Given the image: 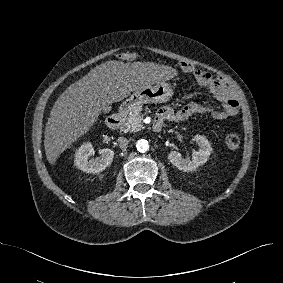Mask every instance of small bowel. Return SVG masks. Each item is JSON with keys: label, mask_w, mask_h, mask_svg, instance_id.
I'll use <instances>...</instances> for the list:
<instances>
[{"label": "small bowel", "mask_w": 283, "mask_h": 283, "mask_svg": "<svg viewBox=\"0 0 283 283\" xmlns=\"http://www.w3.org/2000/svg\"><path fill=\"white\" fill-rule=\"evenodd\" d=\"M187 71L193 72L197 82L202 86L208 87L213 92L220 103V107L216 108L199 102H191L177 111L170 107H164L157 112L156 116L161 118L162 121L180 122L196 115H207L215 120H222L237 114L239 102L232 94L230 88L220 78L213 76L207 71L191 67Z\"/></svg>", "instance_id": "c3829d8e"}]
</instances>
